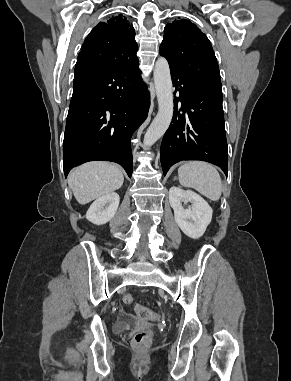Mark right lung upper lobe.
Segmentation results:
<instances>
[{"label": "right lung upper lobe", "instance_id": "right-lung-upper-lobe-1", "mask_svg": "<svg viewBox=\"0 0 291 381\" xmlns=\"http://www.w3.org/2000/svg\"><path fill=\"white\" fill-rule=\"evenodd\" d=\"M135 30L119 14L98 23L84 41L75 68H114L137 58Z\"/></svg>", "mask_w": 291, "mask_h": 381}]
</instances>
